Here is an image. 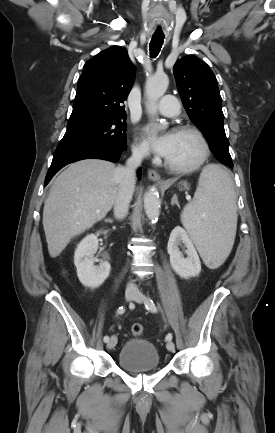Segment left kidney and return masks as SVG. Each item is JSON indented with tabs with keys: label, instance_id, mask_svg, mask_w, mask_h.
<instances>
[{
	"label": "left kidney",
	"instance_id": "left-kidney-1",
	"mask_svg": "<svg viewBox=\"0 0 275 433\" xmlns=\"http://www.w3.org/2000/svg\"><path fill=\"white\" fill-rule=\"evenodd\" d=\"M186 247L187 257L184 258L179 246ZM167 251L170 255V264L173 270L182 278L197 276L201 271V262L197 251L187 232L180 226H176L169 237Z\"/></svg>",
	"mask_w": 275,
	"mask_h": 433
}]
</instances>
